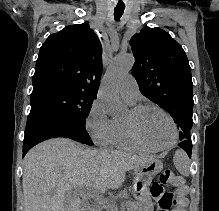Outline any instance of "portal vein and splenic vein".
Instances as JSON below:
<instances>
[{"label":"portal vein and splenic vein","instance_id":"obj_1","mask_svg":"<svg viewBox=\"0 0 219 211\" xmlns=\"http://www.w3.org/2000/svg\"><path fill=\"white\" fill-rule=\"evenodd\" d=\"M75 193H80L82 195L83 199H87V197H91L90 193H87V189H84V187H75ZM108 203H113V199H109Z\"/></svg>","mask_w":219,"mask_h":211}]
</instances>
